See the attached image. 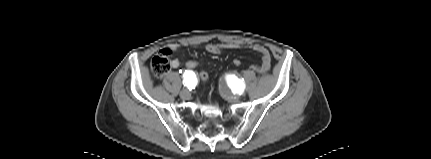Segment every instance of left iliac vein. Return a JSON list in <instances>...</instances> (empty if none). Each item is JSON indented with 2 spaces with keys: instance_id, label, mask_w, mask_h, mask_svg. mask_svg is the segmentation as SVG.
<instances>
[{
  "instance_id": "left-iliac-vein-1",
  "label": "left iliac vein",
  "mask_w": 431,
  "mask_h": 159,
  "mask_svg": "<svg viewBox=\"0 0 431 159\" xmlns=\"http://www.w3.org/2000/svg\"><path fill=\"white\" fill-rule=\"evenodd\" d=\"M223 94H224V97L231 102H236L239 99V97L237 95H233L232 93H230L229 91H227L225 89L223 90Z\"/></svg>"
}]
</instances>
